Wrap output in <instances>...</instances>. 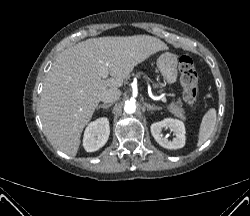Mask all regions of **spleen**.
<instances>
[{"label":"spleen","instance_id":"1","mask_svg":"<svg viewBox=\"0 0 250 216\" xmlns=\"http://www.w3.org/2000/svg\"><path fill=\"white\" fill-rule=\"evenodd\" d=\"M217 118V111L215 108H210L203 116L198 135L197 146L204 144L212 135Z\"/></svg>","mask_w":250,"mask_h":216}]
</instances>
